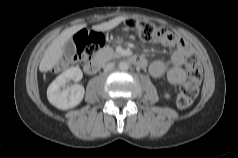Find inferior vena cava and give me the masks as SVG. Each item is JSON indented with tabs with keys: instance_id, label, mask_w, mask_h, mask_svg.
Returning <instances> with one entry per match:
<instances>
[{
	"instance_id": "602c4592",
	"label": "inferior vena cava",
	"mask_w": 238,
	"mask_h": 158,
	"mask_svg": "<svg viewBox=\"0 0 238 158\" xmlns=\"http://www.w3.org/2000/svg\"><path fill=\"white\" fill-rule=\"evenodd\" d=\"M113 67H114V64H113V63H109V64H107V65L104 67V70H105V71H109V70H111Z\"/></svg>"
}]
</instances>
